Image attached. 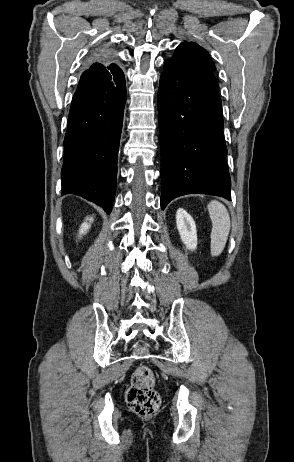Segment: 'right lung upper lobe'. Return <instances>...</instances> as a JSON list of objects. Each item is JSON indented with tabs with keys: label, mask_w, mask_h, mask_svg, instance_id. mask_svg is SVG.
Returning a JSON list of instances; mask_svg holds the SVG:
<instances>
[{
	"label": "right lung upper lobe",
	"mask_w": 294,
	"mask_h": 462,
	"mask_svg": "<svg viewBox=\"0 0 294 462\" xmlns=\"http://www.w3.org/2000/svg\"><path fill=\"white\" fill-rule=\"evenodd\" d=\"M123 72L114 63V58L110 51L96 54L93 63L81 75L78 85L95 84L101 81H108Z\"/></svg>",
	"instance_id": "obj_1"
}]
</instances>
